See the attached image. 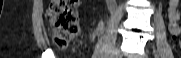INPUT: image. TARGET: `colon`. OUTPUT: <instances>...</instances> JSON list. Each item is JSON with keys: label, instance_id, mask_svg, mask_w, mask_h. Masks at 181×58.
Returning <instances> with one entry per match:
<instances>
[{"label": "colon", "instance_id": "obj_1", "mask_svg": "<svg viewBox=\"0 0 181 58\" xmlns=\"http://www.w3.org/2000/svg\"><path fill=\"white\" fill-rule=\"evenodd\" d=\"M79 0H53L47 11V20L53 31L54 43L66 47L79 31ZM181 48V39H179Z\"/></svg>", "mask_w": 181, "mask_h": 58}]
</instances>
